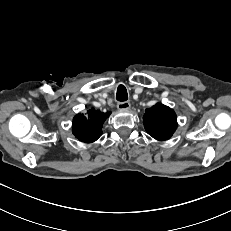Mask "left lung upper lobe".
<instances>
[{"instance_id":"obj_1","label":"left lung upper lobe","mask_w":231,"mask_h":231,"mask_svg":"<svg viewBox=\"0 0 231 231\" xmlns=\"http://www.w3.org/2000/svg\"><path fill=\"white\" fill-rule=\"evenodd\" d=\"M146 131L156 140L169 139L177 128V116L175 112L163 104L157 103L143 116Z\"/></svg>"}]
</instances>
